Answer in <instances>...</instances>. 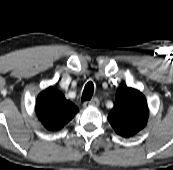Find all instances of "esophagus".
Returning a JSON list of instances; mask_svg holds the SVG:
<instances>
[{
  "instance_id": "1",
  "label": "esophagus",
  "mask_w": 173,
  "mask_h": 170,
  "mask_svg": "<svg viewBox=\"0 0 173 170\" xmlns=\"http://www.w3.org/2000/svg\"><path fill=\"white\" fill-rule=\"evenodd\" d=\"M99 104H100V102H99L98 98H93V99L90 100V101H86V102L83 104V106H84L85 108H87V107H98Z\"/></svg>"
}]
</instances>
